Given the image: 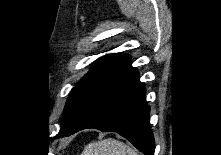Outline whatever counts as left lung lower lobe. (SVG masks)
Masks as SVG:
<instances>
[{
  "instance_id": "1",
  "label": "left lung lower lobe",
  "mask_w": 221,
  "mask_h": 155,
  "mask_svg": "<svg viewBox=\"0 0 221 155\" xmlns=\"http://www.w3.org/2000/svg\"><path fill=\"white\" fill-rule=\"evenodd\" d=\"M149 106L137 69L129 61L105 78L93 91L80 113L57 137L85 128L117 132L145 155H154Z\"/></svg>"
}]
</instances>
